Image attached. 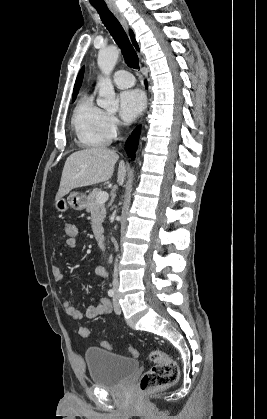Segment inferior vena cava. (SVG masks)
I'll list each match as a JSON object with an SVG mask.
<instances>
[{
  "mask_svg": "<svg viewBox=\"0 0 267 419\" xmlns=\"http://www.w3.org/2000/svg\"><path fill=\"white\" fill-rule=\"evenodd\" d=\"M118 270H117V264L114 266V273H113V287L116 289L118 287Z\"/></svg>",
  "mask_w": 267,
  "mask_h": 419,
  "instance_id": "inferior-vena-cava-1",
  "label": "inferior vena cava"
}]
</instances>
